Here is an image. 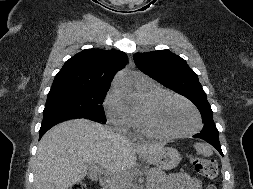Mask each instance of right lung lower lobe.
<instances>
[{"instance_id": "right-lung-lower-lobe-1", "label": "right lung lower lobe", "mask_w": 253, "mask_h": 189, "mask_svg": "<svg viewBox=\"0 0 253 189\" xmlns=\"http://www.w3.org/2000/svg\"><path fill=\"white\" fill-rule=\"evenodd\" d=\"M73 118H82V117L61 115V116H52V117L43 118L41 128L39 131V139L45 134L46 131H48L54 125H56L64 120L73 119ZM92 120H94V119H92ZM94 121H97V120H94ZM97 122H99V121H97Z\"/></svg>"}]
</instances>
